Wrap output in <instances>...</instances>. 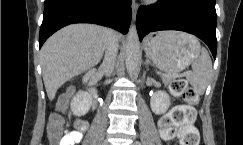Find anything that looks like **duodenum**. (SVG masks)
<instances>
[{
	"mask_svg": "<svg viewBox=\"0 0 243 145\" xmlns=\"http://www.w3.org/2000/svg\"><path fill=\"white\" fill-rule=\"evenodd\" d=\"M93 78V74H89L87 77H86V82H89L91 81V79ZM90 92L95 95V91L93 89H90Z\"/></svg>",
	"mask_w": 243,
	"mask_h": 145,
	"instance_id": "410a0bca",
	"label": "duodenum"
}]
</instances>
